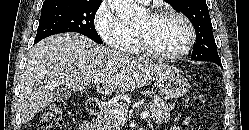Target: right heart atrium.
Masks as SVG:
<instances>
[{
  "label": "right heart atrium",
  "mask_w": 249,
  "mask_h": 130,
  "mask_svg": "<svg viewBox=\"0 0 249 130\" xmlns=\"http://www.w3.org/2000/svg\"><path fill=\"white\" fill-rule=\"evenodd\" d=\"M94 29L109 47L129 52L134 31L115 14L106 2H102L93 17Z\"/></svg>",
  "instance_id": "obj_1"
}]
</instances>
